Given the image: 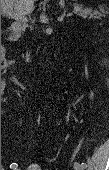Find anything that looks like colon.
I'll return each mask as SVG.
<instances>
[{"label": "colon", "mask_w": 109, "mask_h": 170, "mask_svg": "<svg viewBox=\"0 0 109 170\" xmlns=\"http://www.w3.org/2000/svg\"><path fill=\"white\" fill-rule=\"evenodd\" d=\"M28 170H43L42 167L38 164H32L28 167Z\"/></svg>", "instance_id": "obj_1"}]
</instances>
